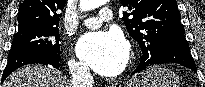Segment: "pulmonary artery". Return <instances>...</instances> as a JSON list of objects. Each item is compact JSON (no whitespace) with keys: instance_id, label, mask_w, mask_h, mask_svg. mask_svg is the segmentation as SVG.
Listing matches in <instances>:
<instances>
[{"instance_id":"obj_1","label":"pulmonary artery","mask_w":205,"mask_h":87,"mask_svg":"<svg viewBox=\"0 0 205 87\" xmlns=\"http://www.w3.org/2000/svg\"><path fill=\"white\" fill-rule=\"evenodd\" d=\"M114 20V12L109 7H103L100 11L98 16L88 17L83 20L84 26L87 28H98L104 22H111Z\"/></svg>"}]
</instances>
